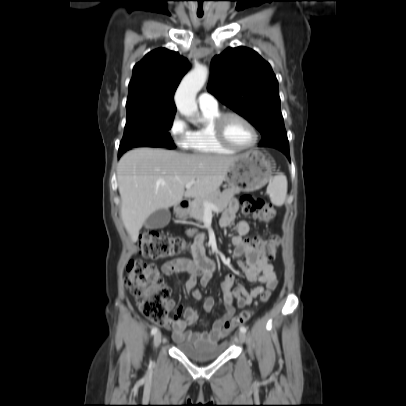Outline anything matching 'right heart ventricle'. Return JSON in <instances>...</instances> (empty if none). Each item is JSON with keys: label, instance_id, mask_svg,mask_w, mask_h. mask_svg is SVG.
<instances>
[{"label": "right heart ventricle", "instance_id": "1", "mask_svg": "<svg viewBox=\"0 0 406 406\" xmlns=\"http://www.w3.org/2000/svg\"><path fill=\"white\" fill-rule=\"evenodd\" d=\"M205 122L191 131L187 148L199 154H232L235 151L225 148L215 138L213 123L220 115V110L201 109Z\"/></svg>", "mask_w": 406, "mask_h": 406}]
</instances>
